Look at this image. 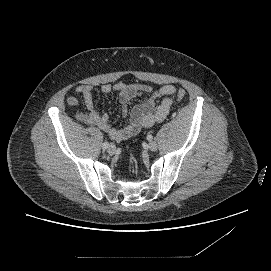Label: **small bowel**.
<instances>
[{"instance_id":"1","label":"small bowel","mask_w":271,"mask_h":271,"mask_svg":"<svg viewBox=\"0 0 271 271\" xmlns=\"http://www.w3.org/2000/svg\"><path fill=\"white\" fill-rule=\"evenodd\" d=\"M76 92L82 97L86 107L85 112H76V119L84 124L95 125L112 139L121 141L138 134L143 128L162 122L170 112L173 102L171 95L176 92V88L170 84L159 88L138 83L103 85L101 88L102 93H117L122 106L121 112L123 116H127V105L132 99L144 95L147 96L144 102L133 107L130 112L129 123L122 128L113 127L108 115L98 113L93 98L92 86L80 85L76 88ZM160 99L161 101L159 102ZM67 103L72 107L79 105V101L75 96H69Z\"/></svg>"}]
</instances>
